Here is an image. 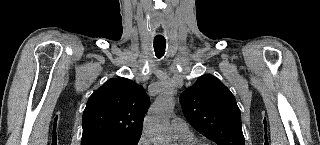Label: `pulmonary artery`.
Masks as SVG:
<instances>
[{
    "instance_id": "obj_1",
    "label": "pulmonary artery",
    "mask_w": 320,
    "mask_h": 145,
    "mask_svg": "<svg viewBox=\"0 0 320 145\" xmlns=\"http://www.w3.org/2000/svg\"><path fill=\"white\" fill-rule=\"evenodd\" d=\"M170 130L173 136H188L192 135L188 123L181 118H174L170 124Z\"/></svg>"
}]
</instances>
